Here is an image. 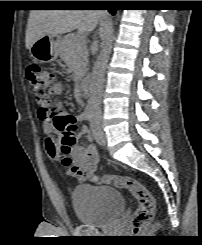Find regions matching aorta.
<instances>
[{
    "mask_svg": "<svg viewBox=\"0 0 202 245\" xmlns=\"http://www.w3.org/2000/svg\"><path fill=\"white\" fill-rule=\"evenodd\" d=\"M112 48V37L108 36L102 44V49L96 59L93 67L90 81V100L97 102L103 91V83L106 66L110 57Z\"/></svg>",
    "mask_w": 202,
    "mask_h": 245,
    "instance_id": "aorta-1",
    "label": "aorta"
}]
</instances>
